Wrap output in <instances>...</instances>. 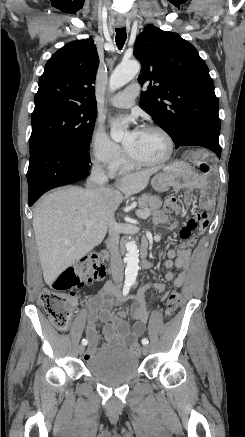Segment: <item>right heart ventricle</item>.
Segmentation results:
<instances>
[{"instance_id":"obj_1","label":"right heart ventricle","mask_w":245,"mask_h":437,"mask_svg":"<svg viewBox=\"0 0 245 437\" xmlns=\"http://www.w3.org/2000/svg\"><path fill=\"white\" fill-rule=\"evenodd\" d=\"M134 167L133 164L129 163L126 159H124L116 168L119 171H129Z\"/></svg>"}]
</instances>
